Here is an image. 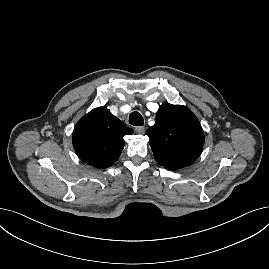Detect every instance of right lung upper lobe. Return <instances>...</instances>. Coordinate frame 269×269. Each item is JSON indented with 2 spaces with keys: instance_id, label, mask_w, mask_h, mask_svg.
<instances>
[{
  "instance_id": "right-lung-upper-lobe-1",
  "label": "right lung upper lobe",
  "mask_w": 269,
  "mask_h": 269,
  "mask_svg": "<svg viewBox=\"0 0 269 269\" xmlns=\"http://www.w3.org/2000/svg\"><path fill=\"white\" fill-rule=\"evenodd\" d=\"M132 133L131 128L102 106L78 121L72 139L76 154L83 162L104 169L117 161L125 145L123 137Z\"/></svg>"
}]
</instances>
